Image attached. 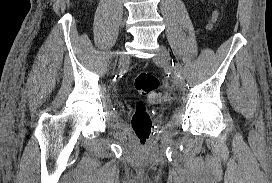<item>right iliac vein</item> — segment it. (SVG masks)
<instances>
[{
  "mask_svg": "<svg viewBox=\"0 0 272 183\" xmlns=\"http://www.w3.org/2000/svg\"><path fill=\"white\" fill-rule=\"evenodd\" d=\"M125 60H126V57L125 56H121L120 57V64H123L124 62H125Z\"/></svg>",
  "mask_w": 272,
  "mask_h": 183,
  "instance_id": "63e3f726",
  "label": "right iliac vein"
}]
</instances>
